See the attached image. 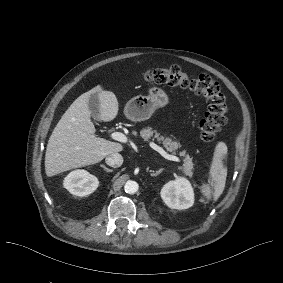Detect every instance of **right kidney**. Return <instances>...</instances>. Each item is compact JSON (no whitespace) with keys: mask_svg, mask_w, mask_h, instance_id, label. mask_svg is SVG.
<instances>
[{"mask_svg":"<svg viewBox=\"0 0 283 283\" xmlns=\"http://www.w3.org/2000/svg\"><path fill=\"white\" fill-rule=\"evenodd\" d=\"M63 185L71 194L83 197L93 193L98 188L99 181L85 170H75L64 178Z\"/></svg>","mask_w":283,"mask_h":283,"instance_id":"right-kidney-1","label":"right kidney"}]
</instances>
